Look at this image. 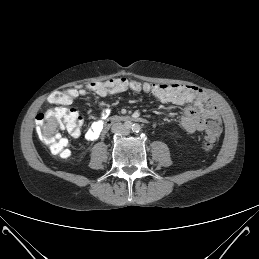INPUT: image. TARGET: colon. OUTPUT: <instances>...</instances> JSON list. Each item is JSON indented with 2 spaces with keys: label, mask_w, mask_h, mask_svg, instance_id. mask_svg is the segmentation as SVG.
<instances>
[{
  "label": "colon",
  "mask_w": 259,
  "mask_h": 259,
  "mask_svg": "<svg viewBox=\"0 0 259 259\" xmlns=\"http://www.w3.org/2000/svg\"><path fill=\"white\" fill-rule=\"evenodd\" d=\"M87 89L98 95L121 93L127 90L145 92L165 103H184L199 97V90L193 85L143 83L122 77L91 82L87 85ZM77 96L78 92L74 89L54 91L49 96V102L57 105L58 108L36 116V128L41 140L52 154L59 157H68L69 142L61 136L58 130L47 131L45 123L47 120L53 119L72 136L78 135L82 125V117L76 110L68 107ZM220 131V126L217 123L208 124L204 134L207 149L212 148L219 138Z\"/></svg>",
  "instance_id": "obj_1"
}]
</instances>
